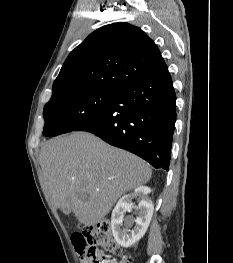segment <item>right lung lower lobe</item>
I'll use <instances>...</instances> for the list:
<instances>
[{
	"label": "right lung lower lobe",
	"mask_w": 233,
	"mask_h": 263,
	"mask_svg": "<svg viewBox=\"0 0 233 263\" xmlns=\"http://www.w3.org/2000/svg\"><path fill=\"white\" fill-rule=\"evenodd\" d=\"M176 95L168 70L117 91L109 106L75 131L91 132L168 170L176 121Z\"/></svg>",
	"instance_id": "right-lung-lower-lobe-1"
}]
</instances>
